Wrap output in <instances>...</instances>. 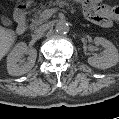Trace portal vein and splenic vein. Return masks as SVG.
Returning a JSON list of instances; mask_svg holds the SVG:
<instances>
[{
	"label": "portal vein and splenic vein",
	"instance_id": "18ae733b",
	"mask_svg": "<svg viewBox=\"0 0 119 119\" xmlns=\"http://www.w3.org/2000/svg\"><path fill=\"white\" fill-rule=\"evenodd\" d=\"M57 12L56 8H51V9H46L43 11L42 13V17L44 19L50 18L52 16L53 13Z\"/></svg>",
	"mask_w": 119,
	"mask_h": 119
}]
</instances>
